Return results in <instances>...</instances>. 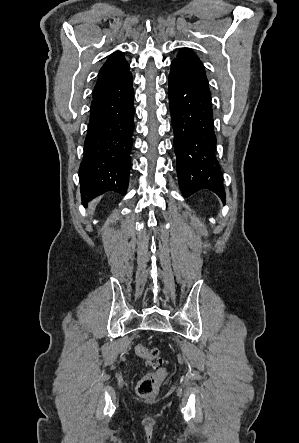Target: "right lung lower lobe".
<instances>
[{
    "label": "right lung lower lobe",
    "instance_id": "right-lung-lower-lobe-1",
    "mask_svg": "<svg viewBox=\"0 0 299 443\" xmlns=\"http://www.w3.org/2000/svg\"><path fill=\"white\" fill-rule=\"evenodd\" d=\"M131 73L93 96L85 153L79 169L86 201L108 191L125 194L134 129Z\"/></svg>",
    "mask_w": 299,
    "mask_h": 443
}]
</instances>
